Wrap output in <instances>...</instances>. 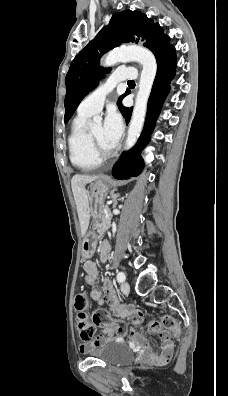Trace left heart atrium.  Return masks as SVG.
I'll list each match as a JSON object with an SVG mask.
<instances>
[{
  "label": "left heart atrium",
  "instance_id": "1",
  "mask_svg": "<svg viewBox=\"0 0 228 396\" xmlns=\"http://www.w3.org/2000/svg\"><path fill=\"white\" fill-rule=\"evenodd\" d=\"M103 127L106 140L115 147L123 131V122L120 114L116 110L111 109L106 115Z\"/></svg>",
  "mask_w": 228,
  "mask_h": 396
}]
</instances>
